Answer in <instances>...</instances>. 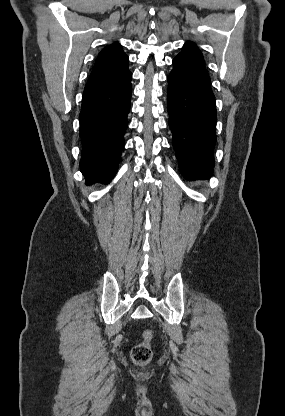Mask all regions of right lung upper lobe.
<instances>
[{"instance_id":"right-lung-upper-lobe-1","label":"right lung upper lobe","mask_w":285,"mask_h":416,"mask_svg":"<svg viewBox=\"0 0 285 416\" xmlns=\"http://www.w3.org/2000/svg\"><path fill=\"white\" fill-rule=\"evenodd\" d=\"M128 70V56L119 43L106 46L98 55L84 92L109 85L122 78Z\"/></svg>"}]
</instances>
